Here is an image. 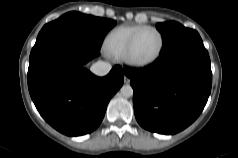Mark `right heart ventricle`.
Segmentation results:
<instances>
[{"mask_svg":"<svg viewBox=\"0 0 238 158\" xmlns=\"http://www.w3.org/2000/svg\"><path fill=\"white\" fill-rule=\"evenodd\" d=\"M143 25H122L113 29L105 38L104 49L114 57L123 58L132 36Z\"/></svg>","mask_w":238,"mask_h":158,"instance_id":"1","label":"right heart ventricle"}]
</instances>
